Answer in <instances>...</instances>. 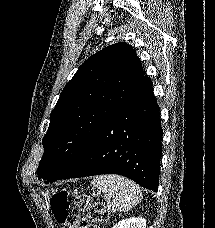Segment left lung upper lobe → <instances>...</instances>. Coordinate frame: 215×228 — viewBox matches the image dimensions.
<instances>
[{
	"instance_id": "5c2ea615",
	"label": "left lung upper lobe",
	"mask_w": 215,
	"mask_h": 228,
	"mask_svg": "<svg viewBox=\"0 0 215 228\" xmlns=\"http://www.w3.org/2000/svg\"><path fill=\"white\" fill-rule=\"evenodd\" d=\"M132 46L121 42L89 57L66 84L42 140L38 178L62 175L144 78Z\"/></svg>"
}]
</instances>
